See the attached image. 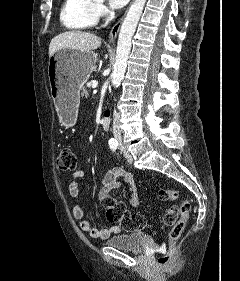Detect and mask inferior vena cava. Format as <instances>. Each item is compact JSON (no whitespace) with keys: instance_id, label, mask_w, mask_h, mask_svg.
<instances>
[{"instance_id":"obj_1","label":"inferior vena cava","mask_w":240,"mask_h":281,"mask_svg":"<svg viewBox=\"0 0 240 281\" xmlns=\"http://www.w3.org/2000/svg\"><path fill=\"white\" fill-rule=\"evenodd\" d=\"M119 114L114 111L113 113V136L116 140L121 142V133H120V128H119Z\"/></svg>"}]
</instances>
